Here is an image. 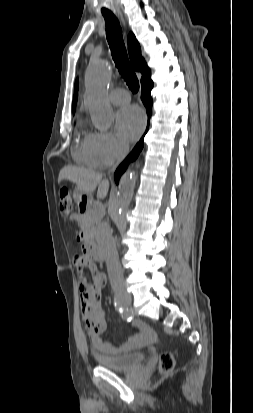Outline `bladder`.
Here are the masks:
<instances>
[{
	"instance_id": "1",
	"label": "bladder",
	"mask_w": 253,
	"mask_h": 413,
	"mask_svg": "<svg viewBox=\"0 0 253 413\" xmlns=\"http://www.w3.org/2000/svg\"><path fill=\"white\" fill-rule=\"evenodd\" d=\"M145 356L141 352L125 353L113 356H96V362L104 367L115 371H125L136 368L143 364Z\"/></svg>"
}]
</instances>
